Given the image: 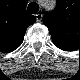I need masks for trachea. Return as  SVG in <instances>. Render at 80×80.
<instances>
[{"mask_svg": "<svg viewBox=\"0 0 80 80\" xmlns=\"http://www.w3.org/2000/svg\"><path fill=\"white\" fill-rule=\"evenodd\" d=\"M27 9L30 14H36L39 11V5L35 2H32L28 5Z\"/></svg>", "mask_w": 80, "mask_h": 80, "instance_id": "obj_1", "label": "trachea"}]
</instances>
